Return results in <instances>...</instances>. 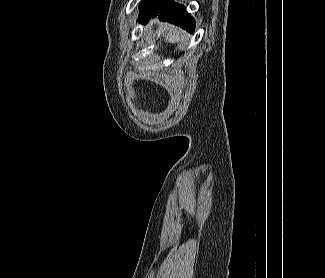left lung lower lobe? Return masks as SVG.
I'll list each match as a JSON object with an SVG mask.
<instances>
[{"label":"left lung lower lobe","mask_w":325,"mask_h":278,"mask_svg":"<svg viewBox=\"0 0 325 278\" xmlns=\"http://www.w3.org/2000/svg\"><path fill=\"white\" fill-rule=\"evenodd\" d=\"M140 15L138 22L146 24L150 18L159 17L160 21L181 26L188 32L195 28L194 19L186 12L183 5L172 0H143L140 3Z\"/></svg>","instance_id":"obj_1"}]
</instances>
